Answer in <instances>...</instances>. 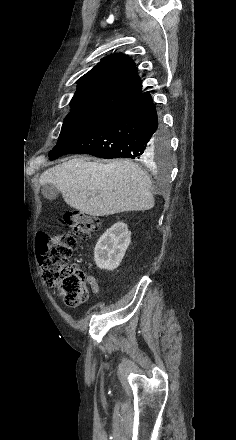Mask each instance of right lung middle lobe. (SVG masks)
<instances>
[{
    "label": "right lung middle lobe",
    "mask_w": 236,
    "mask_h": 440,
    "mask_svg": "<svg viewBox=\"0 0 236 440\" xmlns=\"http://www.w3.org/2000/svg\"><path fill=\"white\" fill-rule=\"evenodd\" d=\"M113 108L115 107L86 102L71 103V111L63 122L61 133L54 149L88 129ZM168 157V141L161 135L155 141V151L150 160L154 159L156 162L162 163L167 161Z\"/></svg>",
    "instance_id": "right-lung-middle-lobe-1"
}]
</instances>
